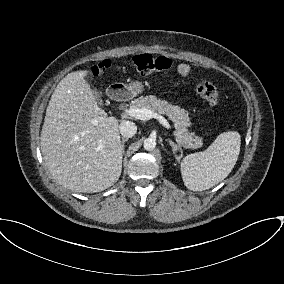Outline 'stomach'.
Instances as JSON below:
<instances>
[{
    "label": "stomach",
    "mask_w": 284,
    "mask_h": 284,
    "mask_svg": "<svg viewBox=\"0 0 284 284\" xmlns=\"http://www.w3.org/2000/svg\"><path fill=\"white\" fill-rule=\"evenodd\" d=\"M113 87L116 89L124 88L131 97L144 91V85L140 81H132L129 84L116 83Z\"/></svg>",
    "instance_id": "0dacf381"
}]
</instances>
